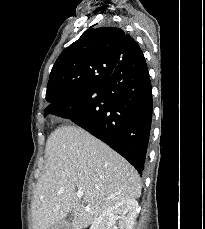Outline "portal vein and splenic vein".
Listing matches in <instances>:
<instances>
[{
    "mask_svg": "<svg viewBox=\"0 0 205 229\" xmlns=\"http://www.w3.org/2000/svg\"><path fill=\"white\" fill-rule=\"evenodd\" d=\"M77 197L82 198L83 197V192L82 191H77Z\"/></svg>",
    "mask_w": 205,
    "mask_h": 229,
    "instance_id": "obj_1",
    "label": "portal vein and splenic vein"
}]
</instances>
